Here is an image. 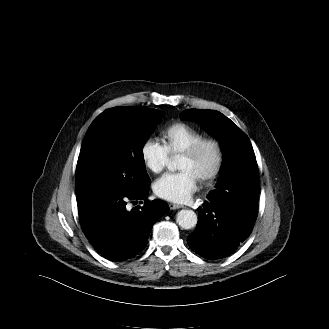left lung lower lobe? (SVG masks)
Returning a JSON list of instances; mask_svg holds the SVG:
<instances>
[{"instance_id":"0a47b994","label":"left lung lower lobe","mask_w":329,"mask_h":329,"mask_svg":"<svg viewBox=\"0 0 329 329\" xmlns=\"http://www.w3.org/2000/svg\"><path fill=\"white\" fill-rule=\"evenodd\" d=\"M227 187L223 199L209 200L198 209L197 227L187 238L190 248L206 259L224 258L236 251L249 237L257 218V165Z\"/></svg>"}]
</instances>
